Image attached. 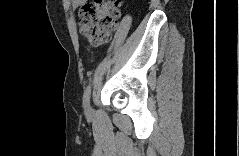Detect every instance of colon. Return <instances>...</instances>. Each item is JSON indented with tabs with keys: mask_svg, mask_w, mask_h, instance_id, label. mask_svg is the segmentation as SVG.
<instances>
[{
	"mask_svg": "<svg viewBox=\"0 0 239 156\" xmlns=\"http://www.w3.org/2000/svg\"><path fill=\"white\" fill-rule=\"evenodd\" d=\"M120 16L118 3L96 0L84 3L79 9L80 32L92 47L109 41Z\"/></svg>",
	"mask_w": 239,
	"mask_h": 156,
	"instance_id": "5ec220e1",
	"label": "colon"
}]
</instances>
